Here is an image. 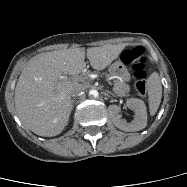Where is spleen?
I'll list each match as a JSON object with an SVG mask.
<instances>
[{"label": "spleen", "mask_w": 187, "mask_h": 187, "mask_svg": "<svg viewBox=\"0 0 187 187\" xmlns=\"http://www.w3.org/2000/svg\"><path fill=\"white\" fill-rule=\"evenodd\" d=\"M148 82H149V90H148L149 111L151 115H154L158 110L162 98V85H161L159 74L153 72L148 78Z\"/></svg>", "instance_id": "spleen-1"}]
</instances>
